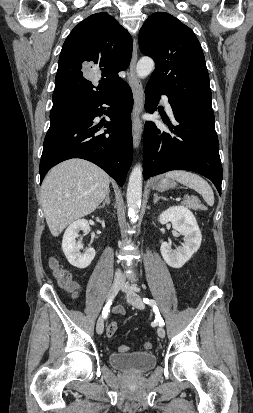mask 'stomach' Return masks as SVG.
<instances>
[{"label": "stomach", "instance_id": "obj_1", "mask_svg": "<svg viewBox=\"0 0 253 413\" xmlns=\"http://www.w3.org/2000/svg\"><path fill=\"white\" fill-rule=\"evenodd\" d=\"M176 182L173 179L164 177L162 178L160 181H158L157 183H155L154 187L158 190V191H165L168 190L170 188H174L176 187Z\"/></svg>", "mask_w": 253, "mask_h": 413}]
</instances>
